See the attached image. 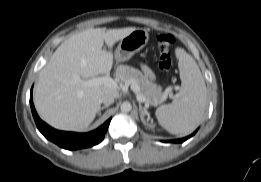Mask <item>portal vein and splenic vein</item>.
<instances>
[{
  "mask_svg": "<svg viewBox=\"0 0 261 182\" xmlns=\"http://www.w3.org/2000/svg\"><path fill=\"white\" fill-rule=\"evenodd\" d=\"M79 80V79H77ZM86 84L88 86H98V85H105L109 88H118L117 83L109 76H102V77H97V78H92L86 81ZM131 90L136 94V98L140 103H145L146 107H149V103L146 99V97L141 93L140 87L137 84V82L133 81L130 84ZM167 96L163 97V100L166 99Z\"/></svg>",
  "mask_w": 261,
  "mask_h": 182,
  "instance_id": "1",
  "label": "portal vein and splenic vein"
}]
</instances>
